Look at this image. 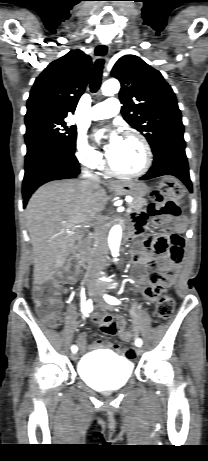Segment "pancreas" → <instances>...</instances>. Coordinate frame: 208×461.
Wrapping results in <instances>:
<instances>
[{
  "label": "pancreas",
  "mask_w": 208,
  "mask_h": 461,
  "mask_svg": "<svg viewBox=\"0 0 208 461\" xmlns=\"http://www.w3.org/2000/svg\"><path fill=\"white\" fill-rule=\"evenodd\" d=\"M146 204V200L144 198L134 199L131 203H128V207L133 211H139L143 208Z\"/></svg>",
  "instance_id": "pancreas-1"
}]
</instances>
